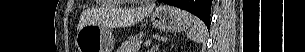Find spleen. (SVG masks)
Instances as JSON below:
<instances>
[{"label":"spleen","instance_id":"3e777b00","mask_svg":"<svg viewBox=\"0 0 305 52\" xmlns=\"http://www.w3.org/2000/svg\"><path fill=\"white\" fill-rule=\"evenodd\" d=\"M207 35V29L204 23L197 17H194V25L187 33V37L193 41L200 42L205 39Z\"/></svg>","mask_w":305,"mask_h":52}]
</instances>
